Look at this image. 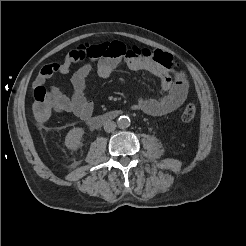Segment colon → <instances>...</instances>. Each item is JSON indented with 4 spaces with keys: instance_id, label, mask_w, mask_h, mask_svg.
<instances>
[{
    "instance_id": "obj_1",
    "label": "colon",
    "mask_w": 246,
    "mask_h": 246,
    "mask_svg": "<svg viewBox=\"0 0 246 246\" xmlns=\"http://www.w3.org/2000/svg\"><path fill=\"white\" fill-rule=\"evenodd\" d=\"M141 55L150 57L153 60L161 63L169 69L177 79H183L184 73L178 69L173 59L164 55L161 51L151 52L149 50H140ZM51 103L46 89L43 86H38L34 90V102L32 112L34 119L38 123H42L48 119L51 113ZM196 116V107L193 104H188L182 112V120L184 122L192 121Z\"/></svg>"
}]
</instances>
